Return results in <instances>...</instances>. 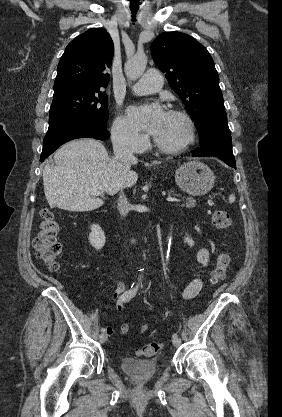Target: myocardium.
<instances>
[{
    "label": "myocardium",
    "instance_id": "f54148a6",
    "mask_svg": "<svg viewBox=\"0 0 282 417\" xmlns=\"http://www.w3.org/2000/svg\"><path fill=\"white\" fill-rule=\"evenodd\" d=\"M166 114L175 116L182 120L185 127V136L179 142L173 144L164 143L160 141L156 136H154L153 139L155 144L159 148L167 151H177L191 144L195 137L194 125L191 118L186 113L178 110H168L166 111Z\"/></svg>",
    "mask_w": 282,
    "mask_h": 417
}]
</instances>
